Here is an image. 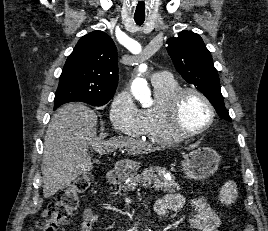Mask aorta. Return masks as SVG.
Listing matches in <instances>:
<instances>
[{"label": "aorta", "instance_id": "1", "mask_svg": "<svg viewBox=\"0 0 268 231\" xmlns=\"http://www.w3.org/2000/svg\"><path fill=\"white\" fill-rule=\"evenodd\" d=\"M131 91L133 96L140 101L143 106H150V89L146 79L137 77L132 83Z\"/></svg>", "mask_w": 268, "mask_h": 231}]
</instances>
